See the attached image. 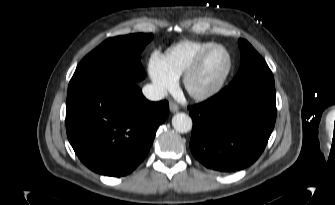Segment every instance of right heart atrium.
I'll return each mask as SVG.
<instances>
[{
	"instance_id": "obj_1",
	"label": "right heart atrium",
	"mask_w": 335,
	"mask_h": 205,
	"mask_svg": "<svg viewBox=\"0 0 335 205\" xmlns=\"http://www.w3.org/2000/svg\"><path fill=\"white\" fill-rule=\"evenodd\" d=\"M148 74L157 94H165L176 85L177 78L167 69L163 55L158 52L149 59Z\"/></svg>"
}]
</instances>
